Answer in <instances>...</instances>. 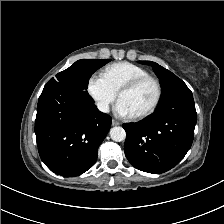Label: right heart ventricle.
<instances>
[{
	"label": "right heart ventricle",
	"mask_w": 224,
	"mask_h": 224,
	"mask_svg": "<svg viewBox=\"0 0 224 224\" xmlns=\"http://www.w3.org/2000/svg\"><path fill=\"white\" fill-rule=\"evenodd\" d=\"M145 75H149L147 70L130 62L111 64L102 72V77L116 93L128 81Z\"/></svg>",
	"instance_id": "e07e8e85"
}]
</instances>
